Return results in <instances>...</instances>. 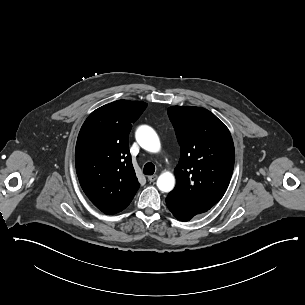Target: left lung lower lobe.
I'll return each instance as SVG.
<instances>
[{
  "mask_svg": "<svg viewBox=\"0 0 305 305\" xmlns=\"http://www.w3.org/2000/svg\"><path fill=\"white\" fill-rule=\"evenodd\" d=\"M166 204L172 214L180 221H189L194 216L208 211L202 208L187 206L169 194L166 198Z\"/></svg>",
  "mask_w": 305,
  "mask_h": 305,
  "instance_id": "1",
  "label": "left lung lower lobe"
}]
</instances>
